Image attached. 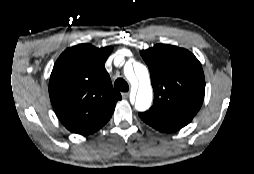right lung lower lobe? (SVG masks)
Masks as SVG:
<instances>
[{
    "label": "right lung lower lobe",
    "instance_id": "1",
    "mask_svg": "<svg viewBox=\"0 0 254 174\" xmlns=\"http://www.w3.org/2000/svg\"><path fill=\"white\" fill-rule=\"evenodd\" d=\"M112 114H110L108 117H106L103 121H101L100 123L94 125V126H91L89 127L88 129H85L81 132H79L78 134H81V135H89V134H92L94 132H96L97 130H99L100 128H102L107 122L108 120L111 118Z\"/></svg>",
    "mask_w": 254,
    "mask_h": 174
}]
</instances>
